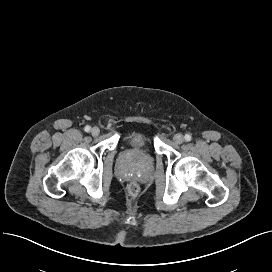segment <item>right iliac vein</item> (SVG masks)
<instances>
[{"label": "right iliac vein", "mask_w": 272, "mask_h": 272, "mask_svg": "<svg viewBox=\"0 0 272 272\" xmlns=\"http://www.w3.org/2000/svg\"><path fill=\"white\" fill-rule=\"evenodd\" d=\"M99 133H100V130H99L98 127H93V128L91 129V134H92L93 136H98Z\"/></svg>", "instance_id": "obj_1"}]
</instances>
